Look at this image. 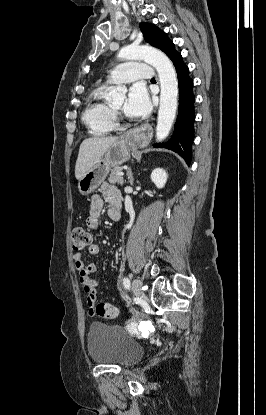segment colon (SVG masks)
Returning <instances> with one entry per match:
<instances>
[{
	"instance_id": "obj_1",
	"label": "colon",
	"mask_w": 266,
	"mask_h": 415,
	"mask_svg": "<svg viewBox=\"0 0 266 415\" xmlns=\"http://www.w3.org/2000/svg\"><path fill=\"white\" fill-rule=\"evenodd\" d=\"M91 242V234L84 227H76L71 235V245L74 251H81L87 247ZM118 311L116 307L109 303H99L94 306L92 315L104 318L113 319L117 316Z\"/></svg>"
}]
</instances>
